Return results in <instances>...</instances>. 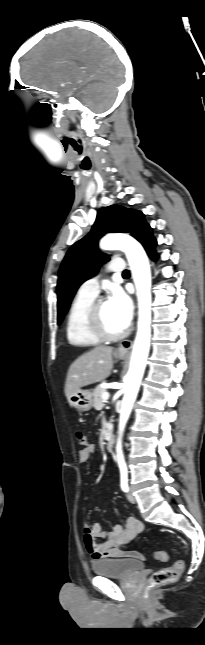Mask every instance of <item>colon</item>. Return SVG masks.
I'll use <instances>...</instances> for the list:
<instances>
[{
	"mask_svg": "<svg viewBox=\"0 0 205 645\" xmlns=\"http://www.w3.org/2000/svg\"><path fill=\"white\" fill-rule=\"evenodd\" d=\"M76 437L80 446L86 448L89 446L87 435L83 431H77ZM154 557L160 561H166L168 556L165 552L158 551ZM185 564L182 560L176 561L172 566L163 568L155 572L150 581L154 586H162L176 582L184 570Z\"/></svg>",
	"mask_w": 205,
	"mask_h": 645,
	"instance_id": "1",
	"label": "colon"
}]
</instances>
